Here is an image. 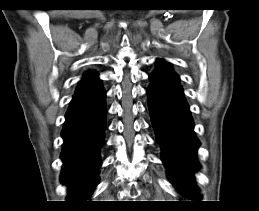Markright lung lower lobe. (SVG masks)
Masks as SVG:
<instances>
[{
    "label": "right lung lower lobe",
    "mask_w": 259,
    "mask_h": 211,
    "mask_svg": "<svg viewBox=\"0 0 259 211\" xmlns=\"http://www.w3.org/2000/svg\"><path fill=\"white\" fill-rule=\"evenodd\" d=\"M105 128V91L99 82L75 94L65 116L61 181L68 186L71 202L84 201L94 190Z\"/></svg>",
    "instance_id": "98d812e1"
}]
</instances>
